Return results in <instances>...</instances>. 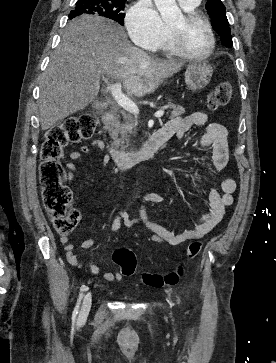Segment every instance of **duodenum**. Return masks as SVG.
Returning <instances> with one entry per match:
<instances>
[{
  "label": "duodenum",
  "instance_id": "duodenum-1",
  "mask_svg": "<svg viewBox=\"0 0 276 363\" xmlns=\"http://www.w3.org/2000/svg\"><path fill=\"white\" fill-rule=\"evenodd\" d=\"M116 112L107 109L102 114V122L100 127V136L105 146L109 150L110 157L113 163L117 166H131L137 162L151 158L160 147L169 139V136L163 132H156L151 139L140 149L133 151H121L114 147L107 135L109 124L115 119Z\"/></svg>",
  "mask_w": 276,
  "mask_h": 363
}]
</instances>
